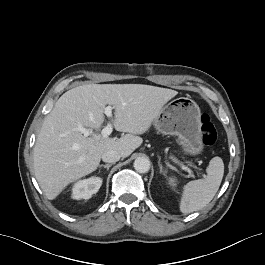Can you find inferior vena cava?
<instances>
[{
	"instance_id": "602c4592",
	"label": "inferior vena cava",
	"mask_w": 265,
	"mask_h": 265,
	"mask_svg": "<svg viewBox=\"0 0 265 265\" xmlns=\"http://www.w3.org/2000/svg\"><path fill=\"white\" fill-rule=\"evenodd\" d=\"M121 155L115 150H107L102 154V160L107 163H115L119 161Z\"/></svg>"
}]
</instances>
